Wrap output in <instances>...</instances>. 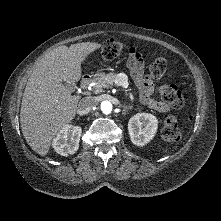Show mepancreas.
<instances>
[{
	"label": "pancreas",
	"instance_id": "cf45deb5",
	"mask_svg": "<svg viewBox=\"0 0 221 221\" xmlns=\"http://www.w3.org/2000/svg\"><path fill=\"white\" fill-rule=\"evenodd\" d=\"M118 78L119 75L113 72L100 74L97 78L92 80V82H96V84L92 86L91 90L94 94L103 92V88H109ZM125 79L127 80V78Z\"/></svg>",
	"mask_w": 221,
	"mask_h": 221
}]
</instances>
